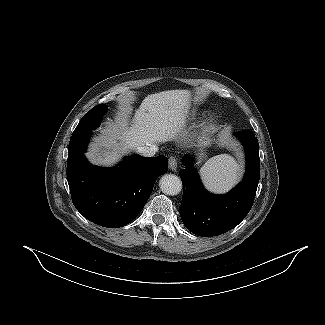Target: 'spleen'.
Listing matches in <instances>:
<instances>
[{
  "mask_svg": "<svg viewBox=\"0 0 325 325\" xmlns=\"http://www.w3.org/2000/svg\"><path fill=\"white\" fill-rule=\"evenodd\" d=\"M200 174L209 191L223 193L237 183L240 167L232 156L221 154L210 158L201 168Z\"/></svg>",
  "mask_w": 325,
  "mask_h": 325,
  "instance_id": "spleen-1",
  "label": "spleen"
}]
</instances>
